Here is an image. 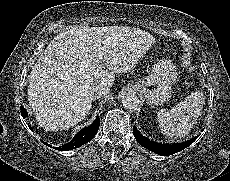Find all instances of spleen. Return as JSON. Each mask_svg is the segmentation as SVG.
Returning <instances> with one entry per match:
<instances>
[{
	"label": "spleen",
	"mask_w": 230,
	"mask_h": 181,
	"mask_svg": "<svg viewBox=\"0 0 230 181\" xmlns=\"http://www.w3.org/2000/svg\"><path fill=\"white\" fill-rule=\"evenodd\" d=\"M203 105L200 92H193L175 107L161 109L157 120L162 134L168 138H182L188 135L198 118Z\"/></svg>",
	"instance_id": "spleen-1"
}]
</instances>
